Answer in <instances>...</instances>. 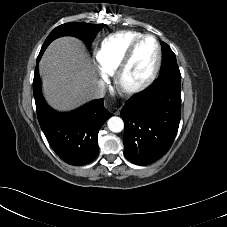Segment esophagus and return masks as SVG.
I'll list each match as a JSON object with an SVG mask.
<instances>
[{"mask_svg": "<svg viewBox=\"0 0 227 227\" xmlns=\"http://www.w3.org/2000/svg\"><path fill=\"white\" fill-rule=\"evenodd\" d=\"M119 113H120L119 110H116V111L114 112L115 115H118Z\"/></svg>", "mask_w": 227, "mask_h": 227, "instance_id": "obj_1", "label": "esophagus"}]
</instances>
